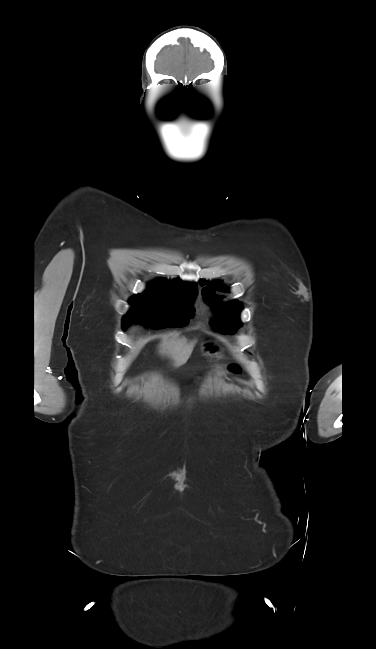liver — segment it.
Segmentation results:
<instances>
[{
    "label": "liver",
    "instance_id": "obj_1",
    "mask_svg": "<svg viewBox=\"0 0 376 649\" xmlns=\"http://www.w3.org/2000/svg\"><path fill=\"white\" fill-rule=\"evenodd\" d=\"M165 335L160 345L159 352L167 355L173 360V365L177 368L184 365L192 354L196 341L188 343L185 337H173Z\"/></svg>",
    "mask_w": 376,
    "mask_h": 649
}]
</instances>
